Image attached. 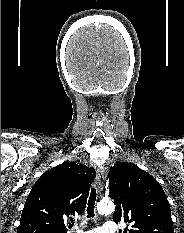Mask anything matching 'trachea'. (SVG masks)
<instances>
[{
    "label": "trachea",
    "instance_id": "1",
    "mask_svg": "<svg viewBox=\"0 0 184 233\" xmlns=\"http://www.w3.org/2000/svg\"><path fill=\"white\" fill-rule=\"evenodd\" d=\"M96 195H97L96 194V189L92 188L91 193H90V197H89V200H88L87 218L94 217V208H95Z\"/></svg>",
    "mask_w": 184,
    "mask_h": 233
}]
</instances>
